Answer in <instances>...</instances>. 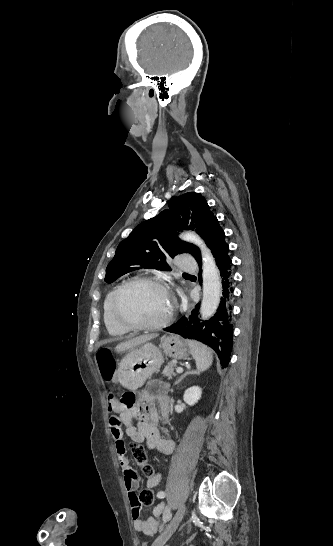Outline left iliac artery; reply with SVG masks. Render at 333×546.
<instances>
[{"label":"left iliac artery","instance_id":"obj_1","mask_svg":"<svg viewBox=\"0 0 333 546\" xmlns=\"http://www.w3.org/2000/svg\"><path fill=\"white\" fill-rule=\"evenodd\" d=\"M171 518V514H168L167 519L169 520Z\"/></svg>","mask_w":333,"mask_h":546}]
</instances>
